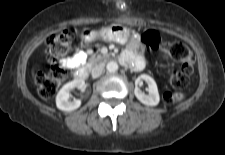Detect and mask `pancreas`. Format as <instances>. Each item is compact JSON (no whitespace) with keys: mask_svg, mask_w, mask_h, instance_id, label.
Masks as SVG:
<instances>
[{"mask_svg":"<svg viewBox=\"0 0 225 155\" xmlns=\"http://www.w3.org/2000/svg\"><path fill=\"white\" fill-rule=\"evenodd\" d=\"M101 59H103V56H101V55H98L97 57L92 56V57L89 59V61H88V63H87V66H88V67H91V66H93L97 61H99V60H101Z\"/></svg>","mask_w":225,"mask_h":155,"instance_id":"cf45deb5","label":"pancreas"}]
</instances>
